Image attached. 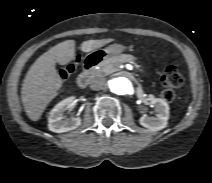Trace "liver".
<instances>
[{"label":"liver","instance_id":"liver-1","mask_svg":"<svg viewBox=\"0 0 212 183\" xmlns=\"http://www.w3.org/2000/svg\"><path fill=\"white\" fill-rule=\"evenodd\" d=\"M109 40L98 39L82 42L83 52L104 46ZM75 58V41L66 40L42 54L30 67L22 84L21 99L27 116L32 121L41 117L48 104L59 94L62 79L56 63L66 65Z\"/></svg>","mask_w":212,"mask_h":183}]
</instances>
